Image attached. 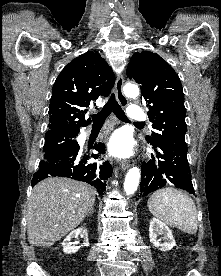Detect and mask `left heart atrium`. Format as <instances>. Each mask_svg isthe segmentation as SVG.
<instances>
[{
	"instance_id": "obj_1",
	"label": "left heart atrium",
	"mask_w": 221,
	"mask_h": 276,
	"mask_svg": "<svg viewBox=\"0 0 221 276\" xmlns=\"http://www.w3.org/2000/svg\"><path fill=\"white\" fill-rule=\"evenodd\" d=\"M109 151L118 157H127L132 153V142L128 135L117 132L109 141Z\"/></svg>"
}]
</instances>
